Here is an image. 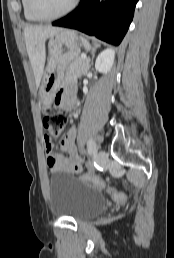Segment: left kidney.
I'll return each mask as SVG.
<instances>
[{"mask_svg": "<svg viewBox=\"0 0 174 258\" xmlns=\"http://www.w3.org/2000/svg\"><path fill=\"white\" fill-rule=\"evenodd\" d=\"M115 58V50L108 48L102 51L95 62V68L97 71L107 74L113 66Z\"/></svg>", "mask_w": 174, "mask_h": 258, "instance_id": "left-kidney-1", "label": "left kidney"}]
</instances>
